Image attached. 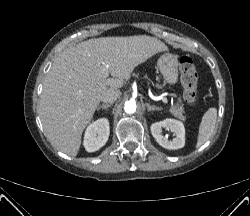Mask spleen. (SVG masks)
<instances>
[{"label": "spleen", "instance_id": "3e777b00", "mask_svg": "<svg viewBox=\"0 0 250 216\" xmlns=\"http://www.w3.org/2000/svg\"><path fill=\"white\" fill-rule=\"evenodd\" d=\"M217 119V108H209L202 117L199 125L198 139L196 148L202 146L212 135Z\"/></svg>", "mask_w": 250, "mask_h": 216}]
</instances>
